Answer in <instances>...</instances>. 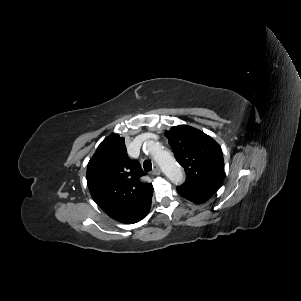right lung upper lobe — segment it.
<instances>
[{"instance_id": "1", "label": "right lung upper lobe", "mask_w": 301, "mask_h": 301, "mask_svg": "<svg viewBox=\"0 0 301 301\" xmlns=\"http://www.w3.org/2000/svg\"><path fill=\"white\" fill-rule=\"evenodd\" d=\"M144 172L128 158L124 138L112 135L97 148L87 166L93 200L110 217L133 223L151 203L153 186L142 183Z\"/></svg>"}]
</instances>
